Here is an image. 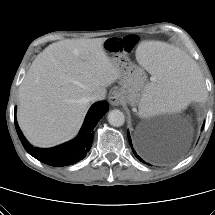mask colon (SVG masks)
Here are the masks:
<instances>
[{"mask_svg": "<svg viewBox=\"0 0 215 215\" xmlns=\"http://www.w3.org/2000/svg\"><path fill=\"white\" fill-rule=\"evenodd\" d=\"M137 43L138 37L136 35H127L123 38L113 37L105 40L104 49L108 53L121 51L124 54H129Z\"/></svg>", "mask_w": 215, "mask_h": 215, "instance_id": "5ec220e1", "label": "colon"}]
</instances>
